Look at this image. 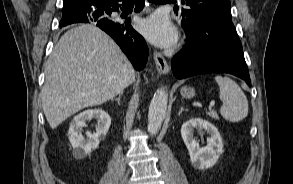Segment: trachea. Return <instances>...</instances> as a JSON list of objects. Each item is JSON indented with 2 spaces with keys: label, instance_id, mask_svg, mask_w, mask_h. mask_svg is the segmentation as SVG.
I'll use <instances>...</instances> for the list:
<instances>
[{
  "label": "trachea",
  "instance_id": "3493384b",
  "mask_svg": "<svg viewBox=\"0 0 293 184\" xmlns=\"http://www.w3.org/2000/svg\"><path fill=\"white\" fill-rule=\"evenodd\" d=\"M149 2H153V3H159V2H162V1H166V0H148Z\"/></svg>",
  "mask_w": 293,
  "mask_h": 184
}]
</instances>
